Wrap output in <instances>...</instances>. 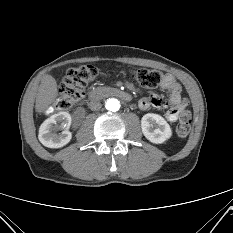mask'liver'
I'll return each instance as SVG.
<instances>
[{
    "instance_id": "obj_1",
    "label": "liver",
    "mask_w": 233,
    "mask_h": 233,
    "mask_svg": "<svg viewBox=\"0 0 233 233\" xmlns=\"http://www.w3.org/2000/svg\"><path fill=\"white\" fill-rule=\"evenodd\" d=\"M57 96L58 88L55 78L51 75L43 76L36 96V112H44L55 101Z\"/></svg>"
}]
</instances>
